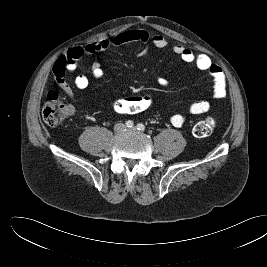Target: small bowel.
I'll use <instances>...</instances> for the list:
<instances>
[{
	"mask_svg": "<svg viewBox=\"0 0 267 267\" xmlns=\"http://www.w3.org/2000/svg\"><path fill=\"white\" fill-rule=\"evenodd\" d=\"M129 43L152 44L158 48H164L168 45L165 37L159 34H150L145 30H126L112 39H102L99 41L87 43L84 45L73 46L65 51L53 65V74L61 90L69 99L74 98L72 87L66 81L67 73L73 74L77 68L78 60L83 55H95L110 47L120 46ZM175 55L180 57L186 63H193L199 70L207 71L213 79V96L216 99H222L226 96V79L220 67L215 65L211 59L204 53H195L189 48L176 44L172 47ZM91 74L95 79H101L104 75L102 65L99 61H94L91 65ZM159 85L167 87L169 82L166 78H158ZM74 85L78 90H85L89 85V79L84 74H78L74 77ZM70 112L74 111L69 107ZM210 103L207 100H198L191 103L187 108L190 115H198L208 112ZM187 115L176 113L170 117V122L175 127H181L186 121Z\"/></svg>",
	"mask_w": 267,
	"mask_h": 267,
	"instance_id": "small-bowel-1",
	"label": "small bowel"
}]
</instances>
